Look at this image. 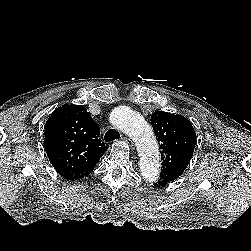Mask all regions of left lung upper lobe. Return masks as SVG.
<instances>
[{"label": "left lung upper lobe", "instance_id": "5c2ea615", "mask_svg": "<svg viewBox=\"0 0 251 251\" xmlns=\"http://www.w3.org/2000/svg\"><path fill=\"white\" fill-rule=\"evenodd\" d=\"M151 123L161 149L160 181L173 182L186 169L193 156L196 133L191 122L182 115L156 111Z\"/></svg>", "mask_w": 251, "mask_h": 251}]
</instances>
